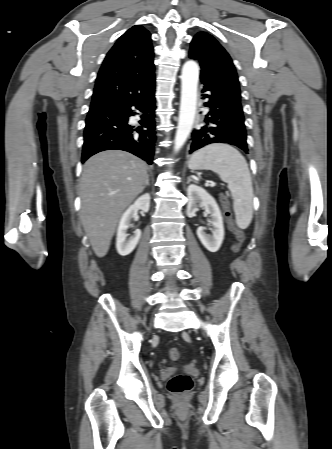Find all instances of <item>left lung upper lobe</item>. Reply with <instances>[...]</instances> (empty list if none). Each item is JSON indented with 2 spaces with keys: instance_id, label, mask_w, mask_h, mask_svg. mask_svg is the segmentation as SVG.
<instances>
[{
  "instance_id": "5c2ea615",
  "label": "left lung upper lobe",
  "mask_w": 332,
  "mask_h": 449,
  "mask_svg": "<svg viewBox=\"0 0 332 449\" xmlns=\"http://www.w3.org/2000/svg\"><path fill=\"white\" fill-rule=\"evenodd\" d=\"M189 57L198 60L200 80L225 96L240 102L238 76L229 54L206 32L196 34L191 42Z\"/></svg>"
}]
</instances>
